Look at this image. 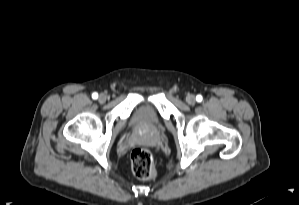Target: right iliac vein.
I'll list each match as a JSON object with an SVG mask.
<instances>
[{
    "label": "right iliac vein",
    "instance_id": "right-iliac-vein-1",
    "mask_svg": "<svg viewBox=\"0 0 299 205\" xmlns=\"http://www.w3.org/2000/svg\"><path fill=\"white\" fill-rule=\"evenodd\" d=\"M98 101L99 103H105L106 101V95L105 94H100L99 97H98Z\"/></svg>",
    "mask_w": 299,
    "mask_h": 205
}]
</instances>
